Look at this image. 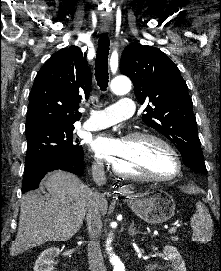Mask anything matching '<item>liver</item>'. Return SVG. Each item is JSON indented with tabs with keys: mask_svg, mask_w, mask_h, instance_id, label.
<instances>
[{
	"mask_svg": "<svg viewBox=\"0 0 221 271\" xmlns=\"http://www.w3.org/2000/svg\"><path fill=\"white\" fill-rule=\"evenodd\" d=\"M42 185L49 191V197L40 191H27L21 197L18 231L10 245V255H19L44 241H67L83 223L91 189L80 177L58 169L51 171ZM98 203L105 215L106 197H100Z\"/></svg>",
	"mask_w": 221,
	"mask_h": 271,
	"instance_id": "1",
	"label": "liver"
}]
</instances>
